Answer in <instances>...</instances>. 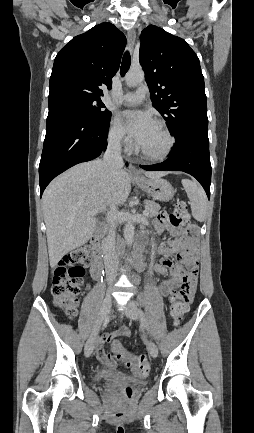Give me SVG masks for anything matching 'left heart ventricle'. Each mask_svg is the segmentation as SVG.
<instances>
[{
	"label": "left heart ventricle",
	"instance_id": "b2bd125f",
	"mask_svg": "<svg viewBox=\"0 0 254 433\" xmlns=\"http://www.w3.org/2000/svg\"><path fill=\"white\" fill-rule=\"evenodd\" d=\"M167 145V138L161 129L154 124L139 146L151 154L161 153Z\"/></svg>",
	"mask_w": 254,
	"mask_h": 433
}]
</instances>
